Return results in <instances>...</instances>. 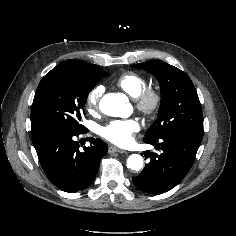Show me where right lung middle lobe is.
Returning <instances> with one entry per match:
<instances>
[{
    "instance_id": "right-lung-middle-lobe-1",
    "label": "right lung middle lobe",
    "mask_w": 236,
    "mask_h": 236,
    "mask_svg": "<svg viewBox=\"0 0 236 236\" xmlns=\"http://www.w3.org/2000/svg\"><path fill=\"white\" fill-rule=\"evenodd\" d=\"M108 75L101 71L97 76H89L73 65H57L38 85L31 110V129L84 131L86 128L80 121L88 94L101 77Z\"/></svg>"
}]
</instances>
